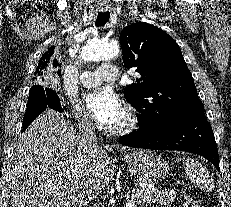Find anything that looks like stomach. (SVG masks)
Instances as JSON below:
<instances>
[{
  "label": "stomach",
  "instance_id": "1",
  "mask_svg": "<svg viewBox=\"0 0 231 207\" xmlns=\"http://www.w3.org/2000/svg\"><path fill=\"white\" fill-rule=\"evenodd\" d=\"M127 167L134 178L144 185H154L166 178L168 163L158 154L139 150L128 156Z\"/></svg>",
  "mask_w": 231,
  "mask_h": 207
}]
</instances>
